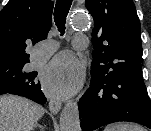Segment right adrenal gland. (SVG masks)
<instances>
[{
	"mask_svg": "<svg viewBox=\"0 0 151 131\" xmlns=\"http://www.w3.org/2000/svg\"><path fill=\"white\" fill-rule=\"evenodd\" d=\"M37 127H39L40 131H44V127L41 125L36 124Z\"/></svg>",
	"mask_w": 151,
	"mask_h": 131,
	"instance_id": "2a0ac1e0",
	"label": "right adrenal gland"
}]
</instances>
